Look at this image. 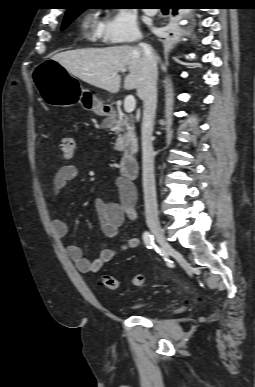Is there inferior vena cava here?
I'll return each mask as SVG.
<instances>
[{
    "label": "inferior vena cava",
    "instance_id": "inferior-vena-cava-1",
    "mask_svg": "<svg viewBox=\"0 0 255 387\" xmlns=\"http://www.w3.org/2000/svg\"><path fill=\"white\" fill-rule=\"evenodd\" d=\"M144 54V83L138 90L143 101L142 152H143V191L147 222H158L156 187L154 176V150L152 131L157 105V57L150 45L140 43Z\"/></svg>",
    "mask_w": 255,
    "mask_h": 387
}]
</instances>
